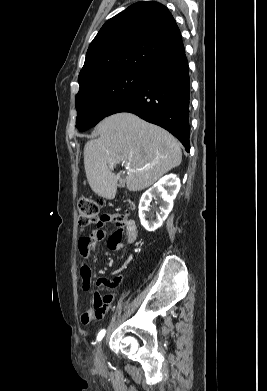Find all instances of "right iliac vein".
Instances as JSON below:
<instances>
[{
	"mask_svg": "<svg viewBox=\"0 0 267 391\" xmlns=\"http://www.w3.org/2000/svg\"><path fill=\"white\" fill-rule=\"evenodd\" d=\"M95 363L98 367L103 366L104 356H103V348L102 343H99L95 352Z\"/></svg>",
	"mask_w": 267,
	"mask_h": 391,
	"instance_id": "63e3f726",
	"label": "right iliac vein"
}]
</instances>
